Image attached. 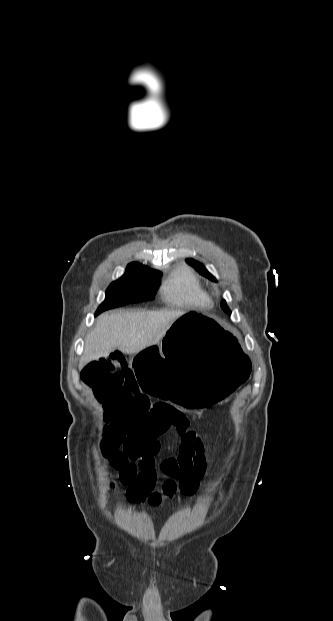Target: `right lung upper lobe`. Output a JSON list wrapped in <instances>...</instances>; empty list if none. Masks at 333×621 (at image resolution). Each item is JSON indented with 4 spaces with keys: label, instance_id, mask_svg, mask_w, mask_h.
Instances as JSON below:
<instances>
[{
    "label": "right lung upper lobe",
    "instance_id": "obj_1",
    "mask_svg": "<svg viewBox=\"0 0 333 621\" xmlns=\"http://www.w3.org/2000/svg\"><path fill=\"white\" fill-rule=\"evenodd\" d=\"M129 265H138V266L146 267V266H144V265H142V264H140V263H136V262H132V263H130Z\"/></svg>",
    "mask_w": 333,
    "mask_h": 621
}]
</instances>
